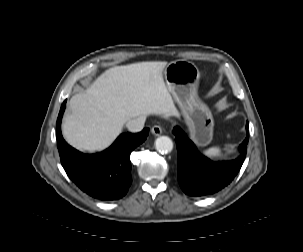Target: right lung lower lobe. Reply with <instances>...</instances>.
I'll return each instance as SVG.
<instances>
[{
  "instance_id": "right-lung-lower-lobe-1",
  "label": "right lung lower lobe",
  "mask_w": 303,
  "mask_h": 252,
  "mask_svg": "<svg viewBox=\"0 0 303 252\" xmlns=\"http://www.w3.org/2000/svg\"><path fill=\"white\" fill-rule=\"evenodd\" d=\"M63 102L56 124L57 147L62 166L69 178L85 193L100 200L122 198L132 183L129 155L145 141L149 129L123 133L108 149L86 155L68 145L61 134V119L65 109Z\"/></svg>"
}]
</instances>
